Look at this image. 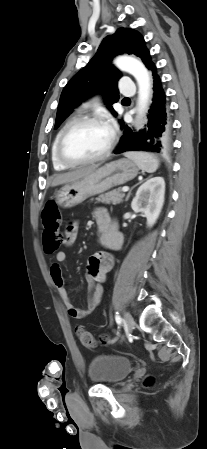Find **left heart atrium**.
<instances>
[{
  "instance_id": "39dd6f15",
  "label": "left heart atrium",
  "mask_w": 207,
  "mask_h": 449,
  "mask_svg": "<svg viewBox=\"0 0 207 449\" xmlns=\"http://www.w3.org/2000/svg\"><path fill=\"white\" fill-rule=\"evenodd\" d=\"M108 128L110 129V131H111V130H114V125H113V123H110V124L108 125Z\"/></svg>"
}]
</instances>
